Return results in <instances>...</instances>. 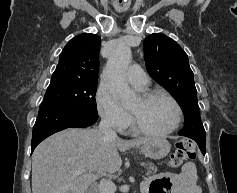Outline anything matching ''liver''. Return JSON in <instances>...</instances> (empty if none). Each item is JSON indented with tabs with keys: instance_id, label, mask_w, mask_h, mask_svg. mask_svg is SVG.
<instances>
[{
	"instance_id": "1",
	"label": "liver",
	"mask_w": 237,
	"mask_h": 193,
	"mask_svg": "<svg viewBox=\"0 0 237 193\" xmlns=\"http://www.w3.org/2000/svg\"><path fill=\"white\" fill-rule=\"evenodd\" d=\"M149 140L108 138L95 128H71L55 133L34 150L32 193H86L96 174L120 169L118 150L125 152ZM78 169L85 172L74 176Z\"/></svg>"
}]
</instances>
